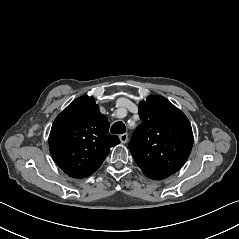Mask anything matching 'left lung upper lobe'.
<instances>
[{"label":"left lung upper lobe","mask_w":239,"mask_h":239,"mask_svg":"<svg viewBox=\"0 0 239 239\" xmlns=\"http://www.w3.org/2000/svg\"><path fill=\"white\" fill-rule=\"evenodd\" d=\"M142 123L128 149L144 174L170 176L186 162L193 145L191 124L166 98L153 95L139 104Z\"/></svg>","instance_id":"5c2ea615"}]
</instances>
